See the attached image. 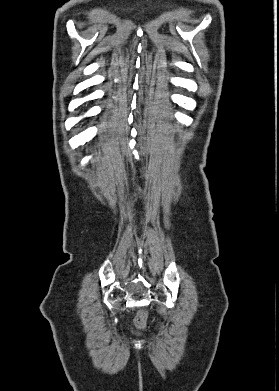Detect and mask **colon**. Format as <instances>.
Wrapping results in <instances>:
<instances>
[{
    "label": "colon",
    "instance_id": "5ec220e1",
    "mask_svg": "<svg viewBox=\"0 0 279 391\" xmlns=\"http://www.w3.org/2000/svg\"><path fill=\"white\" fill-rule=\"evenodd\" d=\"M147 311L145 309H141L136 318H135V324H136V327L138 329H143L146 325V321H147Z\"/></svg>",
    "mask_w": 279,
    "mask_h": 391
}]
</instances>
